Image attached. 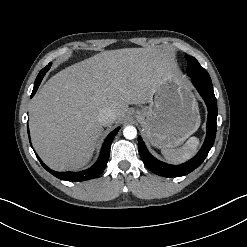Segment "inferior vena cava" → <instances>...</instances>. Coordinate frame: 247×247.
Masks as SVG:
<instances>
[{
    "label": "inferior vena cava",
    "mask_w": 247,
    "mask_h": 247,
    "mask_svg": "<svg viewBox=\"0 0 247 247\" xmlns=\"http://www.w3.org/2000/svg\"><path fill=\"white\" fill-rule=\"evenodd\" d=\"M116 114L111 109H103L98 115V121L102 126H109L114 123Z\"/></svg>",
    "instance_id": "1"
}]
</instances>
